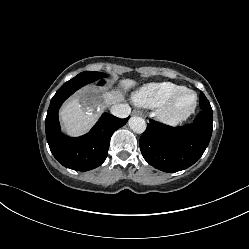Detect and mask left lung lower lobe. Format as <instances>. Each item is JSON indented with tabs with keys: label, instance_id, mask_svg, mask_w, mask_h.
<instances>
[{
	"label": "left lung lower lobe",
	"instance_id": "obj_1",
	"mask_svg": "<svg viewBox=\"0 0 249 249\" xmlns=\"http://www.w3.org/2000/svg\"><path fill=\"white\" fill-rule=\"evenodd\" d=\"M200 107L193 123L182 127L150 120L139 141L142 155L150 165L164 172H177L202 156L212 134V108L203 93Z\"/></svg>",
	"mask_w": 249,
	"mask_h": 249
}]
</instances>
